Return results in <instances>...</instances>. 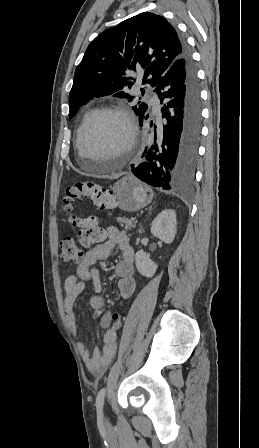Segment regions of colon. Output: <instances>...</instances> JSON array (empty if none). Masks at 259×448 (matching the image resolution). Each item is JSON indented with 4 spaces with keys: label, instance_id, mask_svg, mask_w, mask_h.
I'll return each mask as SVG.
<instances>
[{
    "label": "colon",
    "instance_id": "5ec220e1",
    "mask_svg": "<svg viewBox=\"0 0 259 448\" xmlns=\"http://www.w3.org/2000/svg\"><path fill=\"white\" fill-rule=\"evenodd\" d=\"M80 199L91 200L100 210L116 207V197L107 188L92 179H79L66 189L64 207L70 213V222L78 228V240L64 238L61 243V258L66 263H78L83 257L81 245H89L102 240L104 231L98 226L94 216H79L72 213L73 206ZM112 326L120 328L121 315L111 314Z\"/></svg>",
    "mask_w": 259,
    "mask_h": 448
}]
</instances>
